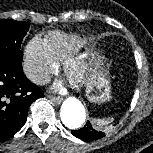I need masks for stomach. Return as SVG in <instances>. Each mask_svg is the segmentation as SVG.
<instances>
[{"mask_svg": "<svg viewBox=\"0 0 153 153\" xmlns=\"http://www.w3.org/2000/svg\"><path fill=\"white\" fill-rule=\"evenodd\" d=\"M100 59L94 61V69L85 83L86 97L94 103L105 102L110 97V81L100 70Z\"/></svg>", "mask_w": 153, "mask_h": 153, "instance_id": "0dacf381", "label": "stomach"}]
</instances>
